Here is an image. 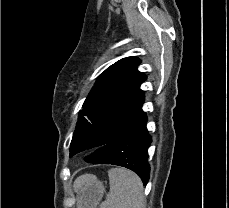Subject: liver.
<instances>
[{
	"instance_id": "6515ba94",
	"label": "liver",
	"mask_w": 229,
	"mask_h": 208,
	"mask_svg": "<svg viewBox=\"0 0 229 208\" xmlns=\"http://www.w3.org/2000/svg\"><path fill=\"white\" fill-rule=\"evenodd\" d=\"M92 178H94L92 174H84V176H79V178H77V180H75L73 184L74 190L75 188H79V186H82V184H85V182H88V180H92Z\"/></svg>"
}]
</instances>
